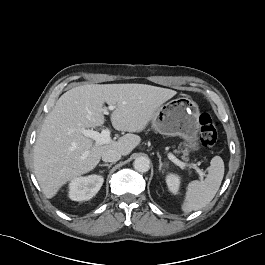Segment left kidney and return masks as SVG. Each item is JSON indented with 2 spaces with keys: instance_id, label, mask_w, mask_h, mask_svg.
<instances>
[{
  "instance_id": "obj_1",
  "label": "left kidney",
  "mask_w": 265,
  "mask_h": 265,
  "mask_svg": "<svg viewBox=\"0 0 265 265\" xmlns=\"http://www.w3.org/2000/svg\"><path fill=\"white\" fill-rule=\"evenodd\" d=\"M166 183L168 189L173 193L177 194L180 186V177L176 174H168L166 175Z\"/></svg>"
}]
</instances>
